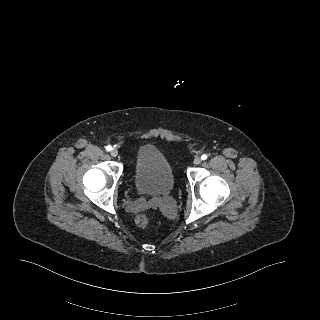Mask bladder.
<instances>
[{"label":"bladder","mask_w":320,"mask_h":320,"mask_svg":"<svg viewBox=\"0 0 320 320\" xmlns=\"http://www.w3.org/2000/svg\"><path fill=\"white\" fill-rule=\"evenodd\" d=\"M133 183L138 193L165 196L175 187L172 167L165 155L154 146L138 149L133 170Z\"/></svg>","instance_id":"obj_1"}]
</instances>
